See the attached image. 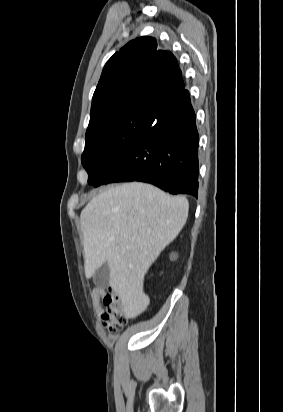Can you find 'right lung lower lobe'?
<instances>
[{
  "mask_svg": "<svg viewBox=\"0 0 283 412\" xmlns=\"http://www.w3.org/2000/svg\"><path fill=\"white\" fill-rule=\"evenodd\" d=\"M198 142L195 113L189 92L184 89L92 185L142 181L172 194L197 197Z\"/></svg>",
  "mask_w": 283,
  "mask_h": 412,
  "instance_id": "1",
  "label": "right lung lower lobe"
}]
</instances>
